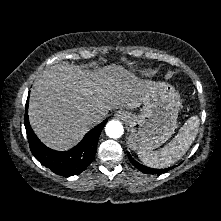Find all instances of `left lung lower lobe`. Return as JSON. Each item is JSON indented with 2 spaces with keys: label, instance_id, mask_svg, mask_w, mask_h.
I'll return each instance as SVG.
<instances>
[{
  "label": "left lung lower lobe",
  "instance_id": "obj_1",
  "mask_svg": "<svg viewBox=\"0 0 221 221\" xmlns=\"http://www.w3.org/2000/svg\"><path fill=\"white\" fill-rule=\"evenodd\" d=\"M128 157H129V160L130 162L138 169L140 170L141 172H144V173H147V174H158V173H165L171 169H173L175 166L173 167H169V168H166V169H153V168H149V167H146L140 163H138L137 161H135L131 156L130 154L128 153Z\"/></svg>",
  "mask_w": 221,
  "mask_h": 221
}]
</instances>
